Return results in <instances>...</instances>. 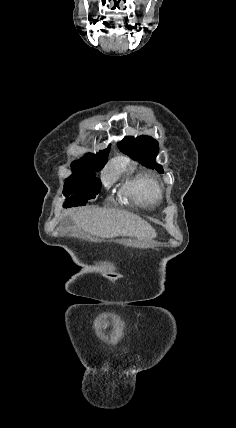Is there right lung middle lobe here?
I'll list each match as a JSON object with an SVG mask.
<instances>
[{
  "label": "right lung middle lobe",
  "mask_w": 236,
  "mask_h": 428,
  "mask_svg": "<svg viewBox=\"0 0 236 428\" xmlns=\"http://www.w3.org/2000/svg\"><path fill=\"white\" fill-rule=\"evenodd\" d=\"M100 169H72V175L64 184L63 194L67 197L64 207L83 206L88 200L95 199L101 188V182L96 178L95 172Z\"/></svg>",
  "instance_id": "obj_1"
}]
</instances>
